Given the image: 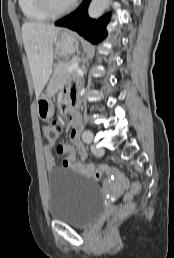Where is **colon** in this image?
<instances>
[{"label": "colon", "instance_id": "obj_1", "mask_svg": "<svg viewBox=\"0 0 174 258\" xmlns=\"http://www.w3.org/2000/svg\"><path fill=\"white\" fill-rule=\"evenodd\" d=\"M62 132H63V124L58 120L45 122L42 127L43 136L46 139L47 143L51 146L55 145L59 141L62 135ZM140 188H141V183L139 181H134L131 184L129 191L126 194V199L128 202L125 203L118 210L115 218L125 216L132 210L133 204L129 202V200L132 199L133 196L139 192Z\"/></svg>", "mask_w": 174, "mask_h": 258}]
</instances>
